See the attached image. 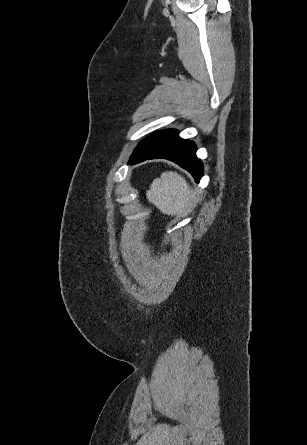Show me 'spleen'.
Masks as SVG:
<instances>
[{
  "mask_svg": "<svg viewBox=\"0 0 307 445\" xmlns=\"http://www.w3.org/2000/svg\"><path fill=\"white\" fill-rule=\"evenodd\" d=\"M146 196L163 214H187L195 204L187 180L174 170H166L154 178Z\"/></svg>",
  "mask_w": 307,
  "mask_h": 445,
  "instance_id": "obj_1",
  "label": "spleen"
}]
</instances>
